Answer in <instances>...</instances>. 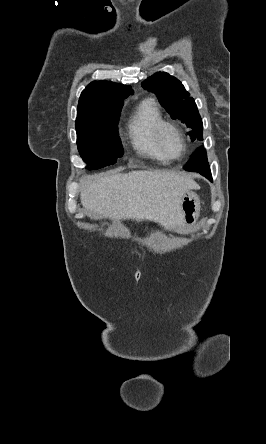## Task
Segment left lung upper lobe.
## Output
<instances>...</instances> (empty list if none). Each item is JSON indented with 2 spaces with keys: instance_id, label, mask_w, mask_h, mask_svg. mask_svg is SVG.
Wrapping results in <instances>:
<instances>
[{
  "instance_id": "5c2ea615",
  "label": "left lung upper lobe",
  "mask_w": 266,
  "mask_h": 444,
  "mask_svg": "<svg viewBox=\"0 0 266 444\" xmlns=\"http://www.w3.org/2000/svg\"><path fill=\"white\" fill-rule=\"evenodd\" d=\"M142 87L156 93L173 119L191 128L190 137L203 140V124L196 103L177 78L164 72L156 73L143 81Z\"/></svg>"
}]
</instances>
